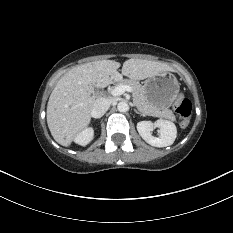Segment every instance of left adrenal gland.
<instances>
[{"label":"left adrenal gland","mask_w":233,"mask_h":233,"mask_svg":"<svg viewBox=\"0 0 233 233\" xmlns=\"http://www.w3.org/2000/svg\"><path fill=\"white\" fill-rule=\"evenodd\" d=\"M134 112L137 113V114H141V115H142V113H140V112L137 111L136 109H134Z\"/></svg>","instance_id":"1"}]
</instances>
